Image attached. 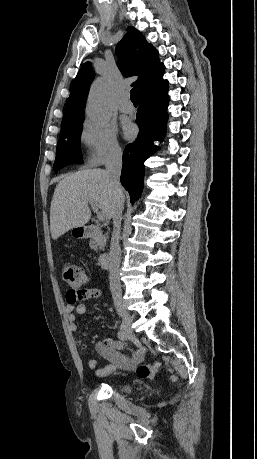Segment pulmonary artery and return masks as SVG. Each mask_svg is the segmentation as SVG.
<instances>
[{
  "label": "pulmonary artery",
  "instance_id": "obj_1",
  "mask_svg": "<svg viewBox=\"0 0 257 459\" xmlns=\"http://www.w3.org/2000/svg\"><path fill=\"white\" fill-rule=\"evenodd\" d=\"M119 109L123 113H131L134 110V106L131 103L129 96L126 94L119 105Z\"/></svg>",
  "mask_w": 257,
  "mask_h": 459
}]
</instances>
